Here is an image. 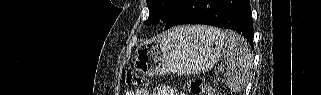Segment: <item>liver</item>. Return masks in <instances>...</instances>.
<instances>
[{"label": "liver", "instance_id": "liver-1", "mask_svg": "<svg viewBox=\"0 0 321 95\" xmlns=\"http://www.w3.org/2000/svg\"><path fill=\"white\" fill-rule=\"evenodd\" d=\"M190 29L195 30V29H197V28H196V27H191Z\"/></svg>", "mask_w": 321, "mask_h": 95}]
</instances>
